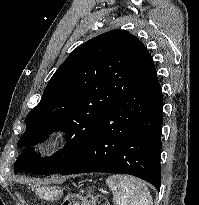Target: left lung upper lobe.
Wrapping results in <instances>:
<instances>
[{"label":"left lung upper lobe","instance_id":"obj_1","mask_svg":"<svg viewBox=\"0 0 199 205\" xmlns=\"http://www.w3.org/2000/svg\"><path fill=\"white\" fill-rule=\"evenodd\" d=\"M144 45L128 31L114 29L77 47L59 66L39 104L25 119L24 147L15 171L60 173L86 149L109 108L126 91ZM64 131L68 144L42 158L30 146Z\"/></svg>","mask_w":199,"mask_h":205}]
</instances>
